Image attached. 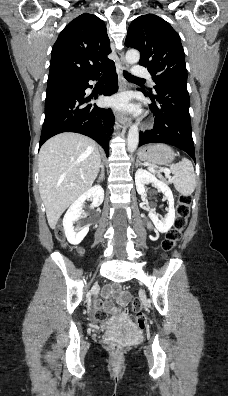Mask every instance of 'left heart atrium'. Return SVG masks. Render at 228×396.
Here are the masks:
<instances>
[{"label":"left heart atrium","mask_w":228,"mask_h":396,"mask_svg":"<svg viewBox=\"0 0 228 396\" xmlns=\"http://www.w3.org/2000/svg\"><path fill=\"white\" fill-rule=\"evenodd\" d=\"M110 103L112 106H114L117 109L126 110L131 108L129 103V97L124 94L114 97Z\"/></svg>","instance_id":"obj_1"}]
</instances>
